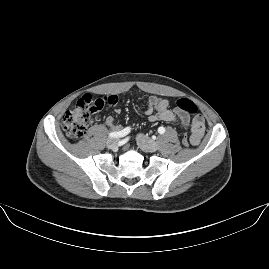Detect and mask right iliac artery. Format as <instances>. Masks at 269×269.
Masks as SVG:
<instances>
[{
  "instance_id": "82829eb1",
  "label": "right iliac artery",
  "mask_w": 269,
  "mask_h": 269,
  "mask_svg": "<svg viewBox=\"0 0 269 269\" xmlns=\"http://www.w3.org/2000/svg\"><path fill=\"white\" fill-rule=\"evenodd\" d=\"M130 132V128L127 127L119 132H111L109 133V137L110 138H118V137H122L123 135H126L127 133Z\"/></svg>"
}]
</instances>
